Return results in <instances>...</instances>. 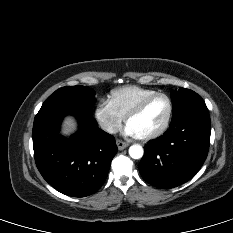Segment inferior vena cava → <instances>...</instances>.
I'll return each mask as SVG.
<instances>
[{
	"mask_svg": "<svg viewBox=\"0 0 233 233\" xmlns=\"http://www.w3.org/2000/svg\"><path fill=\"white\" fill-rule=\"evenodd\" d=\"M102 129L110 134H116L118 132V129L116 127L108 124L103 125Z\"/></svg>",
	"mask_w": 233,
	"mask_h": 233,
	"instance_id": "1",
	"label": "inferior vena cava"
}]
</instances>
